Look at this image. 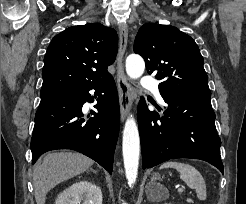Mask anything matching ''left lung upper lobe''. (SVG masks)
<instances>
[{
    "label": "left lung upper lobe",
    "mask_w": 246,
    "mask_h": 204,
    "mask_svg": "<svg viewBox=\"0 0 246 204\" xmlns=\"http://www.w3.org/2000/svg\"><path fill=\"white\" fill-rule=\"evenodd\" d=\"M134 52L140 54L149 74L163 80L162 92L211 95L203 57L195 41L176 27L143 25L135 38Z\"/></svg>",
    "instance_id": "1"
}]
</instances>
